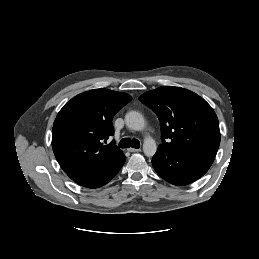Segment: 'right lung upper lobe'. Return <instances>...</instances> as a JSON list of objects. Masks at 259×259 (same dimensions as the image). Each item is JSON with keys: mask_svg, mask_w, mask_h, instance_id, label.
<instances>
[{"mask_svg": "<svg viewBox=\"0 0 259 259\" xmlns=\"http://www.w3.org/2000/svg\"><path fill=\"white\" fill-rule=\"evenodd\" d=\"M131 99L126 93L94 89L63 106L53 124L52 148L65 173L94 170L122 153L114 143H104L114 134V115Z\"/></svg>", "mask_w": 259, "mask_h": 259, "instance_id": "cb5924a9", "label": "right lung upper lobe"}]
</instances>
